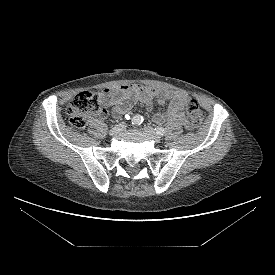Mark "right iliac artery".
<instances>
[{
  "label": "right iliac artery",
  "instance_id": "obj_1",
  "mask_svg": "<svg viewBox=\"0 0 275 275\" xmlns=\"http://www.w3.org/2000/svg\"><path fill=\"white\" fill-rule=\"evenodd\" d=\"M142 122H143V117L141 115L137 114L132 118V124L134 125H140Z\"/></svg>",
  "mask_w": 275,
  "mask_h": 275
}]
</instances>
